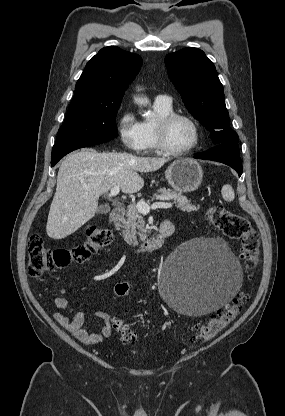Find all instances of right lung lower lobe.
<instances>
[{
    "instance_id": "obj_1",
    "label": "right lung lower lobe",
    "mask_w": 285,
    "mask_h": 416,
    "mask_svg": "<svg viewBox=\"0 0 285 416\" xmlns=\"http://www.w3.org/2000/svg\"><path fill=\"white\" fill-rule=\"evenodd\" d=\"M111 139L91 138V139H65L56 141L52 149L51 166H54L62 157L79 148L97 145Z\"/></svg>"
}]
</instances>
